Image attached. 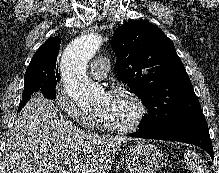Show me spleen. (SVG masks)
<instances>
[{
    "label": "spleen",
    "mask_w": 219,
    "mask_h": 173,
    "mask_svg": "<svg viewBox=\"0 0 219 173\" xmlns=\"http://www.w3.org/2000/svg\"><path fill=\"white\" fill-rule=\"evenodd\" d=\"M185 161L187 166L193 171V173H206V169H204L199 162L197 161V156L192 151H187L184 154Z\"/></svg>",
    "instance_id": "spleen-1"
}]
</instances>
